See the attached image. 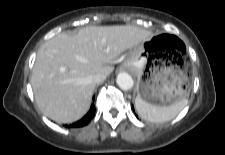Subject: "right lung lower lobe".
<instances>
[{
  "label": "right lung lower lobe",
  "instance_id": "98d812e1",
  "mask_svg": "<svg viewBox=\"0 0 225 155\" xmlns=\"http://www.w3.org/2000/svg\"><path fill=\"white\" fill-rule=\"evenodd\" d=\"M94 114H95V106L91 105V108H90L89 112L80 121L75 122L72 125H69V127H73V126L74 127H82V126H85L93 118Z\"/></svg>",
  "mask_w": 225,
  "mask_h": 155
}]
</instances>
